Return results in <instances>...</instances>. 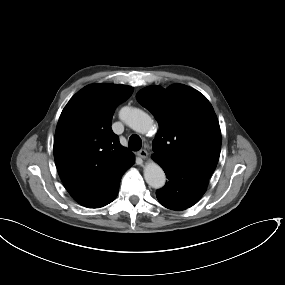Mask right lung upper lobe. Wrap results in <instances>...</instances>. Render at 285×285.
<instances>
[{"mask_svg": "<svg viewBox=\"0 0 285 285\" xmlns=\"http://www.w3.org/2000/svg\"><path fill=\"white\" fill-rule=\"evenodd\" d=\"M133 90L115 84L86 86L60 115L54 139L56 167L67 191L85 207L103 202L134 163V154L111 129L116 107Z\"/></svg>", "mask_w": 285, "mask_h": 285, "instance_id": "1", "label": "right lung upper lobe"}]
</instances>
